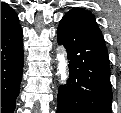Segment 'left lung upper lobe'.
Returning a JSON list of instances; mask_svg holds the SVG:
<instances>
[{"instance_id": "obj_1", "label": "left lung upper lobe", "mask_w": 121, "mask_h": 113, "mask_svg": "<svg viewBox=\"0 0 121 113\" xmlns=\"http://www.w3.org/2000/svg\"><path fill=\"white\" fill-rule=\"evenodd\" d=\"M65 17H68L75 22L79 23L80 25L84 26L85 28L95 32L99 36H102L101 30L99 29L94 15L90 11L84 9H72L70 10Z\"/></svg>"}]
</instances>
